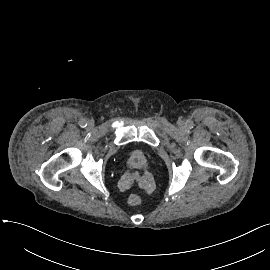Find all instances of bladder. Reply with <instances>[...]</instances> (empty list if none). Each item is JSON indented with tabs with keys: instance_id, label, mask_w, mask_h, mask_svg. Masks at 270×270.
Returning a JSON list of instances; mask_svg holds the SVG:
<instances>
[{
	"instance_id": "31cf9c89",
	"label": "bladder",
	"mask_w": 270,
	"mask_h": 270,
	"mask_svg": "<svg viewBox=\"0 0 270 270\" xmlns=\"http://www.w3.org/2000/svg\"><path fill=\"white\" fill-rule=\"evenodd\" d=\"M134 156L135 157H133V165L141 162V160L143 159V157L140 156L138 152H134Z\"/></svg>"
}]
</instances>
